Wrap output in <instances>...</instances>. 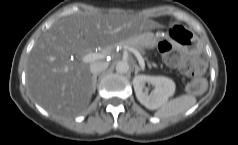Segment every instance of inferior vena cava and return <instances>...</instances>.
I'll return each instance as SVG.
<instances>
[{
  "mask_svg": "<svg viewBox=\"0 0 238 145\" xmlns=\"http://www.w3.org/2000/svg\"><path fill=\"white\" fill-rule=\"evenodd\" d=\"M108 66L109 64L107 62H102V61L94 62L90 64V71L93 74V76L98 75L100 72L107 69Z\"/></svg>",
  "mask_w": 238,
  "mask_h": 145,
  "instance_id": "inferior-vena-cava-1",
  "label": "inferior vena cava"
}]
</instances>
